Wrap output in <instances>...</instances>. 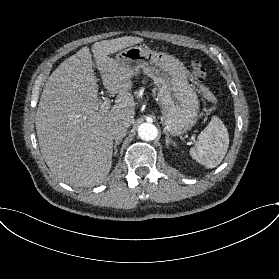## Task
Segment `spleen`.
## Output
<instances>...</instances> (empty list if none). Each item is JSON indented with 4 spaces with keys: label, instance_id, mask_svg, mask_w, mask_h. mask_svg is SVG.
Returning a JSON list of instances; mask_svg holds the SVG:
<instances>
[{
    "label": "spleen",
    "instance_id": "1",
    "mask_svg": "<svg viewBox=\"0 0 279 279\" xmlns=\"http://www.w3.org/2000/svg\"><path fill=\"white\" fill-rule=\"evenodd\" d=\"M202 97L212 105L218 100L206 87L201 90ZM229 146L228 131L216 116L211 118L209 124L199 133L196 144L190 148L192 159L206 168H215L225 157Z\"/></svg>",
    "mask_w": 279,
    "mask_h": 279
}]
</instances>
